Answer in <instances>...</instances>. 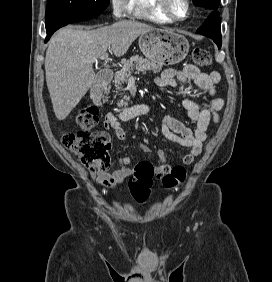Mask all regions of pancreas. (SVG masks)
Wrapping results in <instances>:
<instances>
[{"instance_id":"cf45deb5","label":"pancreas","mask_w":272,"mask_h":282,"mask_svg":"<svg viewBox=\"0 0 272 282\" xmlns=\"http://www.w3.org/2000/svg\"><path fill=\"white\" fill-rule=\"evenodd\" d=\"M161 69V65L156 64L155 62L150 61L142 56L134 55L129 60L124 61L122 69L116 73L114 80L115 87L121 88L122 84L127 83L128 78L134 70L143 73L146 71L158 73L161 71ZM129 99V96H124L118 104L121 106L126 105Z\"/></svg>"}]
</instances>
